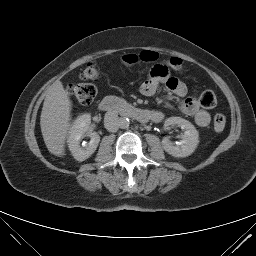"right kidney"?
Segmentation results:
<instances>
[{
    "label": "right kidney",
    "mask_w": 256,
    "mask_h": 256,
    "mask_svg": "<svg viewBox=\"0 0 256 256\" xmlns=\"http://www.w3.org/2000/svg\"><path fill=\"white\" fill-rule=\"evenodd\" d=\"M90 124V114H83L78 116L70 127L69 137L67 140L68 147L74 158L78 161L88 159L95 152L100 141V136L96 132H88ZM86 133H88V136L91 139L88 143L83 142L81 146V139Z\"/></svg>",
    "instance_id": "ca27d5eb"
}]
</instances>
